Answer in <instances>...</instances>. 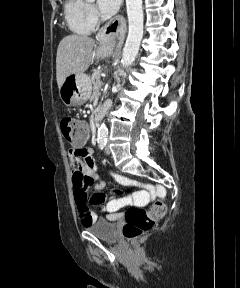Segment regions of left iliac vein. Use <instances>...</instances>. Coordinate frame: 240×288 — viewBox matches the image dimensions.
<instances>
[{
	"mask_svg": "<svg viewBox=\"0 0 240 288\" xmlns=\"http://www.w3.org/2000/svg\"><path fill=\"white\" fill-rule=\"evenodd\" d=\"M105 152H106V154H110L111 151H110L109 146H106V147H105Z\"/></svg>",
	"mask_w": 240,
	"mask_h": 288,
	"instance_id": "1",
	"label": "left iliac vein"
}]
</instances>
